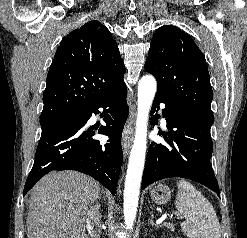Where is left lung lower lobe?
<instances>
[{"mask_svg": "<svg viewBox=\"0 0 247 238\" xmlns=\"http://www.w3.org/2000/svg\"><path fill=\"white\" fill-rule=\"evenodd\" d=\"M164 103L163 117L167 121L165 140L169 146L151 143L142 188L164 178L181 177L196 181L216 192L219 187L210 164L213 143L211 125L183 109L169 105L160 95L155 96L152 112Z\"/></svg>", "mask_w": 247, "mask_h": 238, "instance_id": "obj_1", "label": "left lung lower lobe"}]
</instances>
